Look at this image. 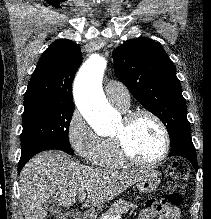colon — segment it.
Here are the masks:
<instances>
[{
	"label": "colon",
	"instance_id": "obj_1",
	"mask_svg": "<svg viewBox=\"0 0 211 219\" xmlns=\"http://www.w3.org/2000/svg\"><path fill=\"white\" fill-rule=\"evenodd\" d=\"M188 174L187 164L182 160H175L168 168L167 200L172 206L181 204V193L178 190L186 180ZM47 219H80L79 211H72L68 214L49 216Z\"/></svg>",
	"mask_w": 211,
	"mask_h": 219
}]
</instances>
